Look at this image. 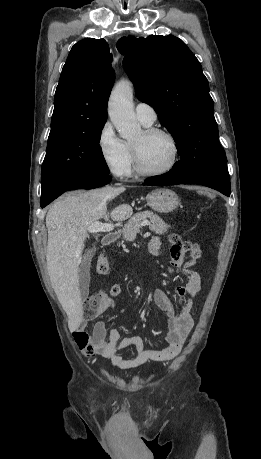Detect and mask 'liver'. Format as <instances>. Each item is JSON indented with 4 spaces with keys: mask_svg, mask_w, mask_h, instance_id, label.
<instances>
[{
    "mask_svg": "<svg viewBox=\"0 0 261 459\" xmlns=\"http://www.w3.org/2000/svg\"><path fill=\"white\" fill-rule=\"evenodd\" d=\"M125 190L123 186H107L87 192H69L56 201L46 215L48 273L68 316L70 331L76 330L83 318L78 271L88 228L100 219L122 221L132 215L128 204L107 212V202Z\"/></svg>",
    "mask_w": 261,
    "mask_h": 459,
    "instance_id": "obj_1",
    "label": "liver"
}]
</instances>
